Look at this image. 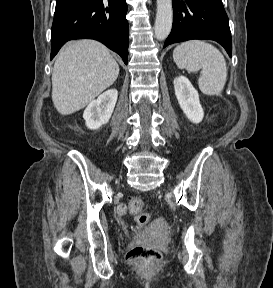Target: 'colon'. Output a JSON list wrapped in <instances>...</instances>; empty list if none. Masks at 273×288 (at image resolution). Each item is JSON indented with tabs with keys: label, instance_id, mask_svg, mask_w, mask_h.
I'll use <instances>...</instances> for the list:
<instances>
[{
	"label": "colon",
	"instance_id": "1",
	"mask_svg": "<svg viewBox=\"0 0 273 288\" xmlns=\"http://www.w3.org/2000/svg\"><path fill=\"white\" fill-rule=\"evenodd\" d=\"M129 210L139 225L148 224L150 216L144 210V201L140 197H132L130 199ZM126 258L128 260H140L146 265H155L160 261L161 253L144 245H136L127 252Z\"/></svg>",
	"mask_w": 273,
	"mask_h": 288
}]
</instances>
